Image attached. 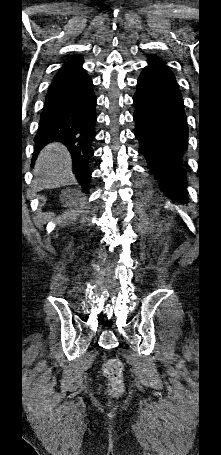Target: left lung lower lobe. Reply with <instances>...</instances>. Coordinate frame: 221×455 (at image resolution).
I'll use <instances>...</instances> for the list:
<instances>
[{
	"instance_id": "obj_1",
	"label": "left lung lower lobe",
	"mask_w": 221,
	"mask_h": 455,
	"mask_svg": "<svg viewBox=\"0 0 221 455\" xmlns=\"http://www.w3.org/2000/svg\"><path fill=\"white\" fill-rule=\"evenodd\" d=\"M133 101L139 153L145 156L165 194L187 202L180 165L187 148L188 126L182 95L171 70L164 63H149L138 78Z\"/></svg>"
}]
</instances>
